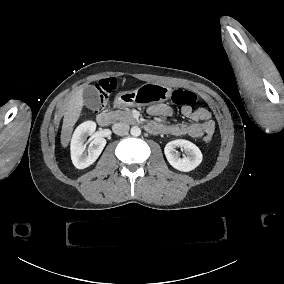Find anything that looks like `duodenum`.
I'll list each match as a JSON object with an SVG mask.
<instances>
[{
	"label": "duodenum",
	"mask_w": 284,
	"mask_h": 284,
	"mask_svg": "<svg viewBox=\"0 0 284 284\" xmlns=\"http://www.w3.org/2000/svg\"><path fill=\"white\" fill-rule=\"evenodd\" d=\"M115 103L120 104L121 101L117 99ZM95 119L100 126H108L112 121V116L108 112H100L96 114Z\"/></svg>",
	"instance_id": "duodenum-1"
}]
</instances>
